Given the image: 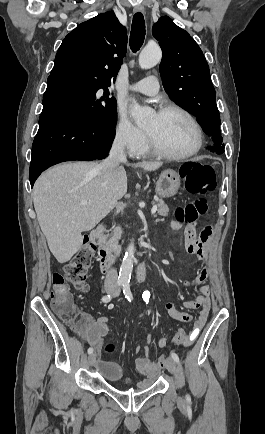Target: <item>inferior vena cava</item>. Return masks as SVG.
<instances>
[{"instance_id":"inferior-vena-cava-1","label":"inferior vena cava","mask_w":265,"mask_h":434,"mask_svg":"<svg viewBox=\"0 0 265 434\" xmlns=\"http://www.w3.org/2000/svg\"><path fill=\"white\" fill-rule=\"evenodd\" d=\"M120 162H126V156L124 154V142L123 140L116 138L112 144L108 158L103 160V162H101V164L98 166V170H100V176H102L103 180L109 178L111 170L118 168ZM106 282H110V284H115V286H117L118 276L114 268H112V270H108L106 274Z\"/></svg>"}]
</instances>
